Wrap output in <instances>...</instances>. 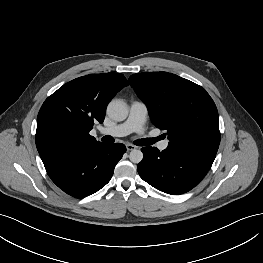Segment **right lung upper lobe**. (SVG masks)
<instances>
[{
    "label": "right lung upper lobe",
    "instance_id": "cb5924a9",
    "mask_svg": "<svg viewBox=\"0 0 263 263\" xmlns=\"http://www.w3.org/2000/svg\"><path fill=\"white\" fill-rule=\"evenodd\" d=\"M127 85L122 74H89L64 84L45 100L35 141L46 171L74 151L102 143L89 132L94 122L104 121L107 104Z\"/></svg>",
    "mask_w": 263,
    "mask_h": 263
}]
</instances>
